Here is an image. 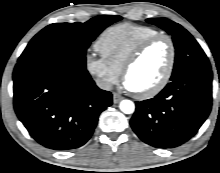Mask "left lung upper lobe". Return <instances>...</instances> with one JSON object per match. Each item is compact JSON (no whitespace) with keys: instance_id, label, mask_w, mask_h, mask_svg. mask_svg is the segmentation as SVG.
<instances>
[{"instance_id":"1","label":"left lung upper lobe","mask_w":220,"mask_h":173,"mask_svg":"<svg viewBox=\"0 0 220 173\" xmlns=\"http://www.w3.org/2000/svg\"><path fill=\"white\" fill-rule=\"evenodd\" d=\"M147 22L159 26L172 35L176 51L171 80L184 73L211 69L209 60L200 45L181 25L164 18L147 19Z\"/></svg>"}]
</instances>
